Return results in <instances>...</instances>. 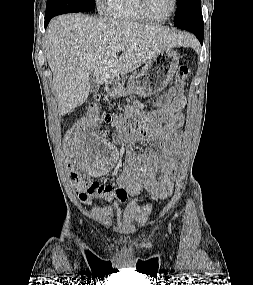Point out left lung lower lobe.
<instances>
[{
	"label": "left lung lower lobe",
	"mask_w": 253,
	"mask_h": 285,
	"mask_svg": "<svg viewBox=\"0 0 253 285\" xmlns=\"http://www.w3.org/2000/svg\"><path fill=\"white\" fill-rule=\"evenodd\" d=\"M177 28L185 29L192 32L203 43L204 23L202 13L191 16L182 23L175 25Z\"/></svg>",
	"instance_id": "obj_1"
}]
</instances>
